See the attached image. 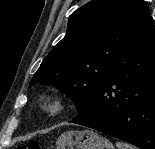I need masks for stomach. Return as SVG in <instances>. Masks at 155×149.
Instances as JSON below:
<instances>
[{
  "label": "stomach",
  "instance_id": "stomach-1",
  "mask_svg": "<svg viewBox=\"0 0 155 149\" xmlns=\"http://www.w3.org/2000/svg\"><path fill=\"white\" fill-rule=\"evenodd\" d=\"M56 149H115L113 144L97 132L86 129L69 130L59 136Z\"/></svg>",
  "mask_w": 155,
  "mask_h": 149
}]
</instances>
